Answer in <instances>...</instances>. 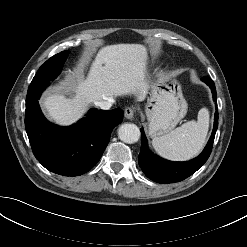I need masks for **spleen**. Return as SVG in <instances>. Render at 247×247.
Listing matches in <instances>:
<instances>
[{
    "label": "spleen",
    "instance_id": "1",
    "mask_svg": "<svg viewBox=\"0 0 247 247\" xmlns=\"http://www.w3.org/2000/svg\"><path fill=\"white\" fill-rule=\"evenodd\" d=\"M209 129V111L201 108L197 120L184 123L168 134L155 136L152 145L162 157L185 161L197 156L203 149Z\"/></svg>",
    "mask_w": 247,
    "mask_h": 247
}]
</instances>
